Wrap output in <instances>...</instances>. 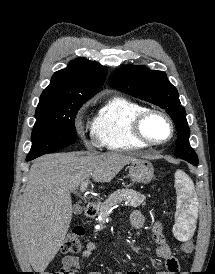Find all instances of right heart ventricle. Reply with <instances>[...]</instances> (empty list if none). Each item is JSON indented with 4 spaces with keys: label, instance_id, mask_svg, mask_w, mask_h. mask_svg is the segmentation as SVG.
I'll return each instance as SVG.
<instances>
[{
    "label": "right heart ventricle",
    "instance_id": "e07e8e85",
    "mask_svg": "<svg viewBox=\"0 0 215 274\" xmlns=\"http://www.w3.org/2000/svg\"><path fill=\"white\" fill-rule=\"evenodd\" d=\"M146 108L124 97H112L98 110L91 123L96 143L108 150L124 151L146 146L133 134L134 118Z\"/></svg>",
    "mask_w": 215,
    "mask_h": 274
}]
</instances>
